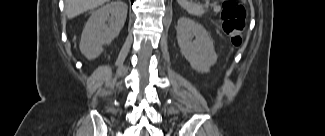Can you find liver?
<instances>
[{
    "mask_svg": "<svg viewBox=\"0 0 325 136\" xmlns=\"http://www.w3.org/2000/svg\"><path fill=\"white\" fill-rule=\"evenodd\" d=\"M108 0H65V13L72 19L83 12L97 8Z\"/></svg>",
    "mask_w": 325,
    "mask_h": 136,
    "instance_id": "liver-1",
    "label": "liver"
}]
</instances>
